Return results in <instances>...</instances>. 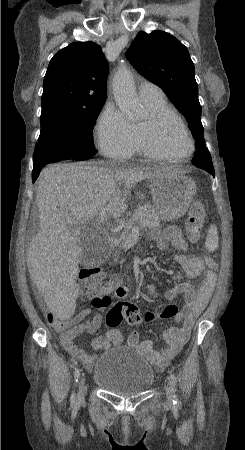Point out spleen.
Returning a JSON list of instances; mask_svg holds the SVG:
<instances>
[{"label":"spleen","mask_w":245,"mask_h":450,"mask_svg":"<svg viewBox=\"0 0 245 450\" xmlns=\"http://www.w3.org/2000/svg\"><path fill=\"white\" fill-rule=\"evenodd\" d=\"M205 246L209 251H215L218 247V232L215 225H211L208 229Z\"/></svg>","instance_id":"3e777b00"}]
</instances>
